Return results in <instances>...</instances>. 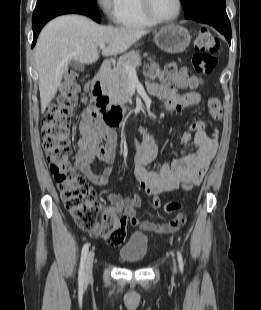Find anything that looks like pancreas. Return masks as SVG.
<instances>
[{
  "label": "pancreas",
  "instance_id": "pancreas-1",
  "mask_svg": "<svg viewBox=\"0 0 261 310\" xmlns=\"http://www.w3.org/2000/svg\"><path fill=\"white\" fill-rule=\"evenodd\" d=\"M136 68L141 65V59L138 52L131 51L119 58L117 65L108 73L106 77V86L109 96L113 103L125 104L129 100V76L125 66Z\"/></svg>",
  "mask_w": 261,
  "mask_h": 310
}]
</instances>
